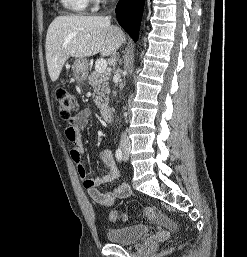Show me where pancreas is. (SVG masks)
Instances as JSON below:
<instances>
[{
	"label": "pancreas",
	"mask_w": 247,
	"mask_h": 257,
	"mask_svg": "<svg viewBox=\"0 0 247 257\" xmlns=\"http://www.w3.org/2000/svg\"><path fill=\"white\" fill-rule=\"evenodd\" d=\"M110 75L107 72H93L88 76V84L94 89L95 104L99 109H103L108 104V94L110 88L108 85Z\"/></svg>",
	"instance_id": "obj_1"
}]
</instances>
